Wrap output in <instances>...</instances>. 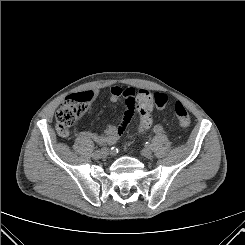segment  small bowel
<instances>
[{
    "mask_svg": "<svg viewBox=\"0 0 245 245\" xmlns=\"http://www.w3.org/2000/svg\"><path fill=\"white\" fill-rule=\"evenodd\" d=\"M119 99H124L126 109L123 113L122 120L116 129H109L104 133H93L88 131L78 132L76 136H82L92 139L100 144H113L122 135L129 123L131 122L134 109L136 105V90L134 88H122L119 86H112L110 88V100L116 102ZM153 102L157 110L166 111L171 106V101L162 93H155L153 95Z\"/></svg>",
    "mask_w": 245,
    "mask_h": 245,
    "instance_id": "c3829d8e",
    "label": "small bowel"
}]
</instances>
